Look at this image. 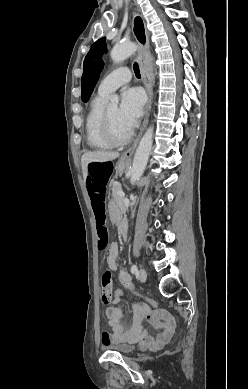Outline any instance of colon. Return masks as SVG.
<instances>
[{
  "mask_svg": "<svg viewBox=\"0 0 248 389\" xmlns=\"http://www.w3.org/2000/svg\"><path fill=\"white\" fill-rule=\"evenodd\" d=\"M90 179L87 180V190L91 207L97 218V236H98V249L104 251L107 247L109 231L105 223V187L109 182V177L112 175L113 166L111 161L92 162L88 167ZM112 273L109 270H105L101 275V292L102 300L104 303H108L111 298L112 290ZM121 288H125V291H134L138 296H141L137 292V285L130 281L129 277H122L120 279L119 286L115 287L113 292L114 298H123L124 293ZM152 305H156L155 301L145 297Z\"/></svg>",
  "mask_w": 248,
  "mask_h": 389,
  "instance_id": "colon-1",
  "label": "colon"
}]
</instances>
